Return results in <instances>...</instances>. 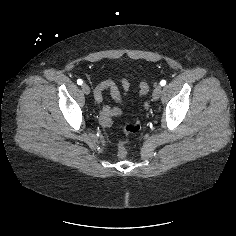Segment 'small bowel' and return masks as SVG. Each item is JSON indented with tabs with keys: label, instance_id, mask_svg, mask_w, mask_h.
Segmentation results:
<instances>
[{
	"label": "small bowel",
	"instance_id": "small-bowel-1",
	"mask_svg": "<svg viewBox=\"0 0 236 236\" xmlns=\"http://www.w3.org/2000/svg\"><path fill=\"white\" fill-rule=\"evenodd\" d=\"M120 83L122 86V91L118 89L117 85L112 80L102 81L94 91L95 100L102 105L100 111V118L104 124H109L114 117L122 115L121 109L111 108L108 105L103 104V92L105 90H110L111 96L115 101H124L130 90V83L126 78H121Z\"/></svg>",
	"mask_w": 236,
	"mask_h": 236
}]
</instances>
